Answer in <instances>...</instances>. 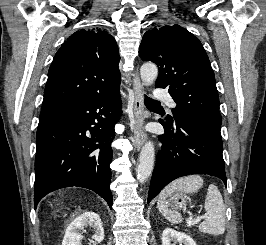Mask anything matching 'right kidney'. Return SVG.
Segmentation results:
<instances>
[{"mask_svg":"<svg viewBox=\"0 0 266 245\" xmlns=\"http://www.w3.org/2000/svg\"><path fill=\"white\" fill-rule=\"evenodd\" d=\"M85 227L94 229V245L103 241L104 229L99 215L92 213V211H86V213H82L70 223L69 245H81L83 239L81 231H84Z\"/></svg>","mask_w":266,"mask_h":245,"instance_id":"right-kidney-1","label":"right kidney"}]
</instances>
